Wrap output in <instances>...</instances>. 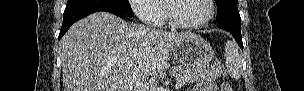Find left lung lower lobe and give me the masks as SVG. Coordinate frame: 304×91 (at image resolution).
Wrapping results in <instances>:
<instances>
[{
    "label": "left lung lower lobe",
    "mask_w": 304,
    "mask_h": 91,
    "mask_svg": "<svg viewBox=\"0 0 304 91\" xmlns=\"http://www.w3.org/2000/svg\"><path fill=\"white\" fill-rule=\"evenodd\" d=\"M240 24H241V17L240 15H234L229 18H226L222 21H219L217 23V26L219 28H224L230 33H232L233 37L237 41L240 48L243 50V42L241 37V30H240Z\"/></svg>",
    "instance_id": "0a47b994"
}]
</instances>
